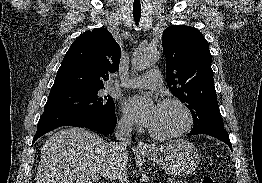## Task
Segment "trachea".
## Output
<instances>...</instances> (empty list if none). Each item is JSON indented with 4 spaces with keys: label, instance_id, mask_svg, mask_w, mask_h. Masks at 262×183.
Segmentation results:
<instances>
[{
    "label": "trachea",
    "instance_id": "1",
    "mask_svg": "<svg viewBox=\"0 0 262 183\" xmlns=\"http://www.w3.org/2000/svg\"><path fill=\"white\" fill-rule=\"evenodd\" d=\"M133 16H134L136 24H138V21L140 20V17H141V11H133Z\"/></svg>",
    "mask_w": 262,
    "mask_h": 183
}]
</instances>
